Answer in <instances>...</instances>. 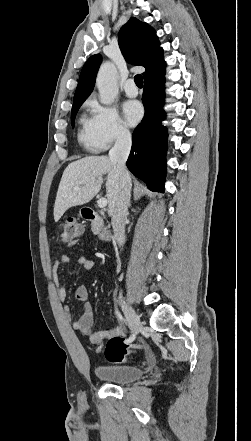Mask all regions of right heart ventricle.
Wrapping results in <instances>:
<instances>
[{
  "mask_svg": "<svg viewBox=\"0 0 251 441\" xmlns=\"http://www.w3.org/2000/svg\"><path fill=\"white\" fill-rule=\"evenodd\" d=\"M78 141L88 150L91 151L100 150L93 136L90 119L86 118L85 116H82L80 119Z\"/></svg>",
  "mask_w": 251,
  "mask_h": 441,
  "instance_id": "obj_1",
  "label": "right heart ventricle"
}]
</instances>
